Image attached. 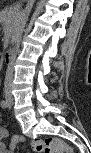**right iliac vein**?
<instances>
[{
    "mask_svg": "<svg viewBox=\"0 0 91 153\" xmlns=\"http://www.w3.org/2000/svg\"><path fill=\"white\" fill-rule=\"evenodd\" d=\"M6 99H7V101H8L10 104H13L14 99H13V97L11 96V94L9 93V91L6 93Z\"/></svg>",
    "mask_w": 91,
    "mask_h": 153,
    "instance_id": "obj_1",
    "label": "right iliac vein"
}]
</instances>
